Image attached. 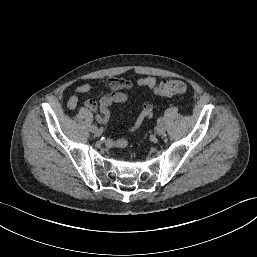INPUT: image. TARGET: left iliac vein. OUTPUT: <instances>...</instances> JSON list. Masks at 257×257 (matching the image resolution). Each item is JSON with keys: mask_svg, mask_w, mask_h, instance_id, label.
Returning a JSON list of instances; mask_svg holds the SVG:
<instances>
[{"mask_svg": "<svg viewBox=\"0 0 257 257\" xmlns=\"http://www.w3.org/2000/svg\"><path fill=\"white\" fill-rule=\"evenodd\" d=\"M156 132H157V134L160 135V136L164 135L165 132H166L165 126L162 125V124H161V125H158L157 128H156Z\"/></svg>", "mask_w": 257, "mask_h": 257, "instance_id": "1", "label": "left iliac vein"}]
</instances>
